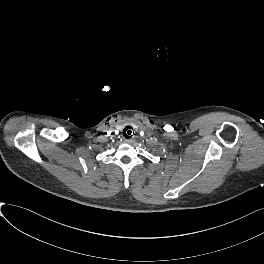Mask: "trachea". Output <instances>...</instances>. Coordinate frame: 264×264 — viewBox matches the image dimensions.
<instances>
[{"instance_id":"1","label":"trachea","mask_w":264,"mask_h":264,"mask_svg":"<svg viewBox=\"0 0 264 264\" xmlns=\"http://www.w3.org/2000/svg\"><path fill=\"white\" fill-rule=\"evenodd\" d=\"M134 133V130H133V127L131 126H126L124 129H123V136L125 138H131L132 135Z\"/></svg>"}]
</instances>
